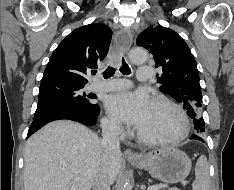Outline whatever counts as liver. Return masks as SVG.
Segmentation results:
<instances>
[{
	"instance_id": "6515ba94",
	"label": "liver",
	"mask_w": 234,
	"mask_h": 190,
	"mask_svg": "<svg viewBox=\"0 0 234 190\" xmlns=\"http://www.w3.org/2000/svg\"><path fill=\"white\" fill-rule=\"evenodd\" d=\"M24 162L25 190H90L104 165L110 183H114L122 155L109 153L105 157L102 140L92 130L60 120L28 139Z\"/></svg>"
}]
</instances>
